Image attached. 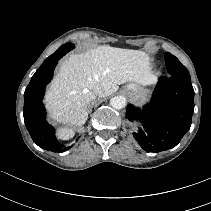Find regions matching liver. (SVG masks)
<instances>
[{
    "instance_id": "obj_1",
    "label": "liver",
    "mask_w": 211,
    "mask_h": 211,
    "mask_svg": "<svg viewBox=\"0 0 211 211\" xmlns=\"http://www.w3.org/2000/svg\"><path fill=\"white\" fill-rule=\"evenodd\" d=\"M150 57L143 51L99 46L65 59L53 79L45 103L50 116L64 125L60 139H69L87 120L88 107L96 99L95 86L103 89L100 97L114 94L126 82L146 86L153 83Z\"/></svg>"
}]
</instances>
